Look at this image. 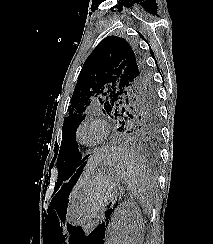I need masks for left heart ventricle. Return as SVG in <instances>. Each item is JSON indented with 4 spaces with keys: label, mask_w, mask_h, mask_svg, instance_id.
Instances as JSON below:
<instances>
[{
    "label": "left heart ventricle",
    "mask_w": 213,
    "mask_h": 244,
    "mask_svg": "<svg viewBox=\"0 0 213 244\" xmlns=\"http://www.w3.org/2000/svg\"><path fill=\"white\" fill-rule=\"evenodd\" d=\"M100 135L101 131L97 125L86 126L81 132V138L87 142L97 140L100 137Z\"/></svg>",
    "instance_id": "1"
}]
</instances>
